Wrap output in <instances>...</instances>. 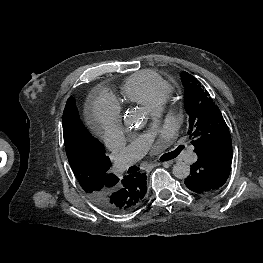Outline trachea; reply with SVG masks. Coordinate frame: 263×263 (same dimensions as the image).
<instances>
[{
    "mask_svg": "<svg viewBox=\"0 0 263 263\" xmlns=\"http://www.w3.org/2000/svg\"><path fill=\"white\" fill-rule=\"evenodd\" d=\"M178 155V151L168 153L162 157V161H167L175 158Z\"/></svg>",
    "mask_w": 263,
    "mask_h": 263,
    "instance_id": "3493384b",
    "label": "trachea"
}]
</instances>
